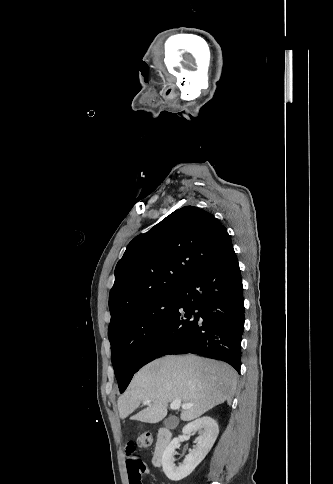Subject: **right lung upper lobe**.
Instances as JSON below:
<instances>
[{
	"instance_id": "obj_1",
	"label": "right lung upper lobe",
	"mask_w": 333,
	"mask_h": 484,
	"mask_svg": "<svg viewBox=\"0 0 333 484\" xmlns=\"http://www.w3.org/2000/svg\"><path fill=\"white\" fill-rule=\"evenodd\" d=\"M226 228L210 213L182 207L135 237L115 268L111 323L163 294L179 292L230 247Z\"/></svg>"
}]
</instances>
